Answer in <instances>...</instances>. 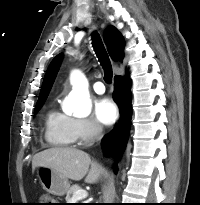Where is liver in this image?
I'll return each instance as SVG.
<instances>
[{"label":"liver","instance_id":"1","mask_svg":"<svg viewBox=\"0 0 200 205\" xmlns=\"http://www.w3.org/2000/svg\"><path fill=\"white\" fill-rule=\"evenodd\" d=\"M39 166L52 168L75 181L85 177V182L88 184L98 182L100 175L105 172L101 165L91 160L89 154L74 148L55 147L35 154L32 170Z\"/></svg>","mask_w":200,"mask_h":205}]
</instances>
